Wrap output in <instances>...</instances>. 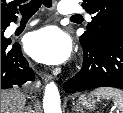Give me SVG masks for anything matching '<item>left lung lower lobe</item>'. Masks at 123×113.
Segmentation results:
<instances>
[{"instance_id":"0a47b994","label":"left lung lower lobe","mask_w":123,"mask_h":113,"mask_svg":"<svg viewBox=\"0 0 123 113\" xmlns=\"http://www.w3.org/2000/svg\"><path fill=\"white\" fill-rule=\"evenodd\" d=\"M81 45L84 54L82 69L65 82V92L98 87L123 89V29L109 23L96 43Z\"/></svg>"}]
</instances>
